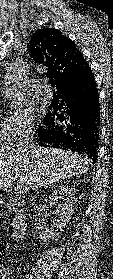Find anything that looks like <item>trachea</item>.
<instances>
[{"instance_id":"trachea-1","label":"trachea","mask_w":113,"mask_h":279,"mask_svg":"<svg viewBox=\"0 0 113 279\" xmlns=\"http://www.w3.org/2000/svg\"><path fill=\"white\" fill-rule=\"evenodd\" d=\"M49 82H50L51 86H53V85H54V81H53V79H50V80H49Z\"/></svg>"}]
</instances>
